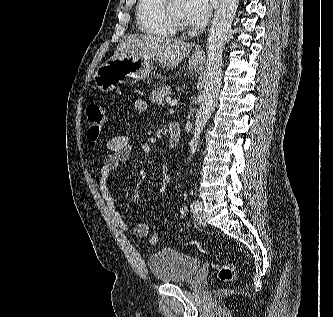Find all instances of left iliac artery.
<instances>
[{
    "label": "left iliac artery",
    "mask_w": 333,
    "mask_h": 317,
    "mask_svg": "<svg viewBox=\"0 0 333 317\" xmlns=\"http://www.w3.org/2000/svg\"><path fill=\"white\" fill-rule=\"evenodd\" d=\"M200 202L199 201H193L191 204V210L193 212L197 211L199 209Z\"/></svg>",
    "instance_id": "obj_1"
}]
</instances>
